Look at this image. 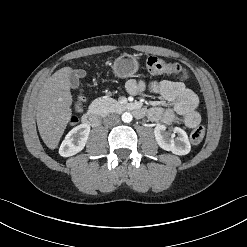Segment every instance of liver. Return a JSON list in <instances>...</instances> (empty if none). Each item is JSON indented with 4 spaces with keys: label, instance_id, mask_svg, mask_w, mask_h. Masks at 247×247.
Segmentation results:
<instances>
[{
    "label": "liver",
    "instance_id": "6515ba94",
    "mask_svg": "<svg viewBox=\"0 0 247 247\" xmlns=\"http://www.w3.org/2000/svg\"><path fill=\"white\" fill-rule=\"evenodd\" d=\"M73 72L70 67L61 68L46 79L39 92L37 126L42 140L50 149L58 146L72 116L69 77Z\"/></svg>",
    "mask_w": 247,
    "mask_h": 247
}]
</instances>
